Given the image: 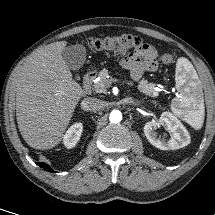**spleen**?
I'll list each match as a JSON object with an SVG mask.
<instances>
[{"label":"spleen","mask_w":215,"mask_h":215,"mask_svg":"<svg viewBox=\"0 0 215 215\" xmlns=\"http://www.w3.org/2000/svg\"><path fill=\"white\" fill-rule=\"evenodd\" d=\"M176 85L180 96L171 103L172 112L194 127H200L204 116V101L197 88L196 72L186 58L176 64Z\"/></svg>","instance_id":"3e777b00"}]
</instances>
